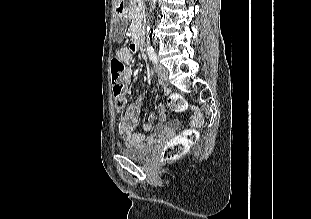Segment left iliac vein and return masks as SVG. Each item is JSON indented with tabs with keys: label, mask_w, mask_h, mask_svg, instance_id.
Listing matches in <instances>:
<instances>
[{
	"label": "left iliac vein",
	"mask_w": 311,
	"mask_h": 219,
	"mask_svg": "<svg viewBox=\"0 0 311 219\" xmlns=\"http://www.w3.org/2000/svg\"><path fill=\"white\" fill-rule=\"evenodd\" d=\"M155 72L158 75L159 79L163 82H167L168 80V70L162 65L155 64L154 66Z\"/></svg>",
	"instance_id": "4c4485c4"
}]
</instances>
